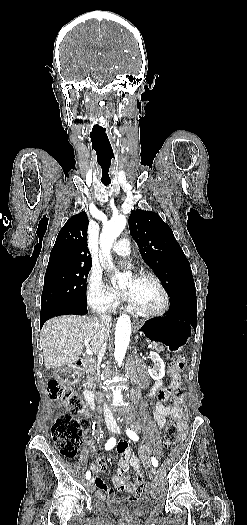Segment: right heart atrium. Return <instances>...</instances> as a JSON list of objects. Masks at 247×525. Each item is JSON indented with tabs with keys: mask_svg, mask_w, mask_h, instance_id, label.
Here are the masks:
<instances>
[{
	"mask_svg": "<svg viewBox=\"0 0 247 525\" xmlns=\"http://www.w3.org/2000/svg\"><path fill=\"white\" fill-rule=\"evenodd\" d=\"M87 302L95 313L108 312L113 307V300L107 290L102 276L98 272H93L87 284Z\"/></svg>",
	"mask_w": 247,
	"mask_h": 525,
	"instance_id": "d8ad5b80",
	"label": "right heart atrium"
}]
</instances>
